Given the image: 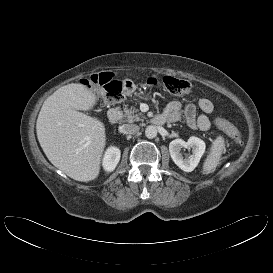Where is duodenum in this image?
<instances>
[{"instance_id": "duodenum-1", "label": "duodenum", "mask_w": 273, "mask_h": 273, "mask_svg": "<svg viewBox=\"0 0 273 273\" xmlns=\"http://www.w3.org/2000/svg\"><path fill=\"white\" fill-rule=\"evenodd\" d=\"M121 113L117 107H113L108 112V119L111 123L119 121ZM151 122L155 125H162L166 122V118L163 115H157L151 119Z\"/></svg>"}]
</instances>
